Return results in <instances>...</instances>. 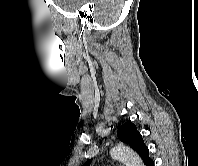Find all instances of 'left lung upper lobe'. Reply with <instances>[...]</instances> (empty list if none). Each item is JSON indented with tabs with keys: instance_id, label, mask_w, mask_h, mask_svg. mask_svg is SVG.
I'll return each mask as SVG.
<instances>
[{
	"instance_id": "left-lung-upper-lobe-1",
	"label": "left lung upper lobe",
	"mask_w": 198,
	"mask_h": 166,
	"mask_svg": "<svg viewBox=\"0 0 198 166\" xmlns=\"http://www.w3.org/2000/svg\"><path fill=\"white\" fill-rule=\"evenodd\" d=\"M117 134L122 142L128 144L140 155L144 163L150 158L149 149L144 144L141 134L137 131V128L133 123L127 122L122 125L118 129ZM91 162L92 160H88L83 166H90Z\"/></svg>"
}]
</instances>
